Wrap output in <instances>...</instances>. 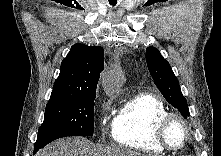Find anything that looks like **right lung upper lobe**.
<instances>
[{
	"label": "right lung upper lobe",
	"instance_id": "cb5924a9",
	"mask_svg": "<svg viewBox=\"0 0 221 156\" xmlns=\"http://www.w3.org/2000/svg\"><path fill=\"white\" fill-rule=\"evenodd\" d=\"M104 67L102 47L74 44L61 63L54 82L51 100H66L96 93L100 72Z\"/></svg>",
	"mask_w": 221,
	"mask_h": 156
}]
</instances>
